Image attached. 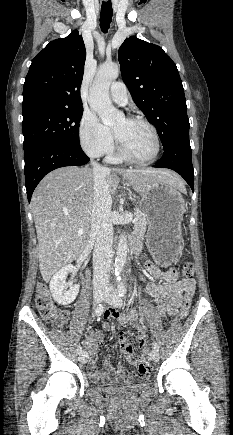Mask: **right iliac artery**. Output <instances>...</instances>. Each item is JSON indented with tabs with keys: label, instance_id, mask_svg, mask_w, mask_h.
Returning a JSON list of instances; mask_svg holds the SVG:
<instances>
[{
	"label": "right iliac artery",
	"instance_id": "1",
	"mask_svg": "<svg viewBox=\"0 0 233 435\" xmlns=\"http://www.w3.org/2000/svg\"><path fill=\"white\" fill-rule=\"evenodd\" d=\"M103 311H104L103 304H99L97 306V308L95 309V315L99 316L103 313ZM77 352H78V354H80L82 352V347L80 345L77 347Z\"/></svg>",
	"mask_w": 233,
	"mask_h": 435
}]
</instances>
